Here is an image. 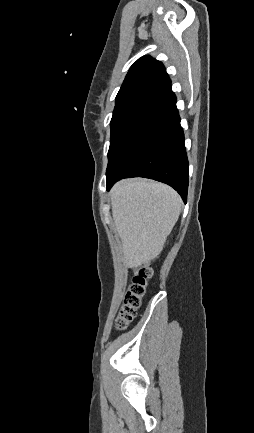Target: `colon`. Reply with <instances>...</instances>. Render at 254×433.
I'll list each match as a JSON object with an SVG mask.
<instances>
[{
    "instance_id": "1",
    "label": "colon",
    "mask_w": 254,
    "mask_h": 433,
    "mask_svg": "<svg viewBox=\"0 0 254 433\" xmlns=\"http://www.w3.org/2000/svg\"><path fill=\"white\" fill-rule=\"evenodd\" d=\"M151 275V268L143 266L133 277L132 284L125 295L123 305L121 306L116 319L117 329H125L135 317L136 311L140 307L142 297L146 292V282Z\"/></svg>"
}]
</instances>
